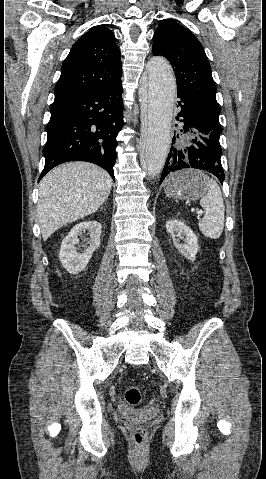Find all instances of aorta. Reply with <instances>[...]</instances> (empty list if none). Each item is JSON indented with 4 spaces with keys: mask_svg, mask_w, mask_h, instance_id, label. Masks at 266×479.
<instances>
[{
    "mask_svg": "<svg viewBox=\"0 0 266 479\" xmlns=\"http://www.w3.org/2000/svg\"><path fill=\"white\" fill-rule=\"evenodd\" d=\"M175 93L176 83L170 65L163 58H152L140 83L146 168L152 177L162 171L168 155Z\"/></svg>",
    "mask_w": 266,
    "mask_h": 479,
    "instance_id": "obj_1",
    "label": "aorta"
}]
</instances>
